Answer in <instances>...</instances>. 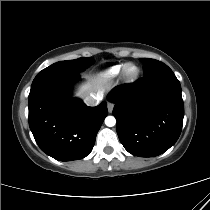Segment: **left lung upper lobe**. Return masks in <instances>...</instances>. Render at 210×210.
I'll return each mask as SVG.
<instances>
[{
  "mask_svg": "<svg viewBox=\"0 0 210 210\" xmlns=\"http://www.w3.org/2000/svg\"><path fill=\"white\" fill-rule=\"evenodd\" d=\"M140 61L143 63L144 75L150 74L154 70L167 66L158 60L150 59V58H142L140 59Z\"/></svg>",
  "mask_w": 210,
  "mask_h": 210,
  "instance_id": "left-lung-upper-lobe-1",
  "label": "left lung upper lobe"
}]
</instances>
